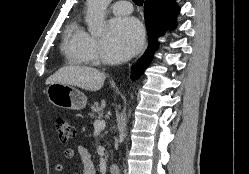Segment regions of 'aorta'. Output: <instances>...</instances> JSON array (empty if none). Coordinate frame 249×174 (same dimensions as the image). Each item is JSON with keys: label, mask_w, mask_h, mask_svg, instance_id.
<instances>
[{"label": "aorta", "mask_w": 249, "mask_h": 174, "mask_svg": "<svg viewBox=\"0 0 249 174\" xmlns=\"http://www.w3.org/2000/svg\"><path fill=\"white\" fill-rule=\"evenodd\" d=\"M112 0H87L86 22L92 35H100L104 30V14Z\"/></svg>", "instance_id": "aorta-1"}]
</instances>
